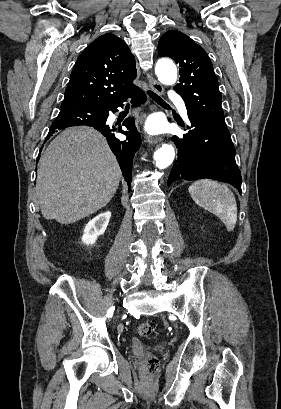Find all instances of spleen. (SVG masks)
Wrapping results in <instances>:
<instances>
[{
    "label": "spleen",
    "instance_id": "obj_1",
    "mask_svg": "<svg viewBox=\"0 0 281 409\" xmlns=\"http://www.w3.org/2000/svg\"><path fill=\"white\" fill-rule=\"evenodd\" d=\"M196 205L221 219L227 231H234L237 223L236 198L224 182L218 180H196L188 188Z\"/></svg>",
    "mask_w": 281,
    "mask_h": 409
}]
</instances>
